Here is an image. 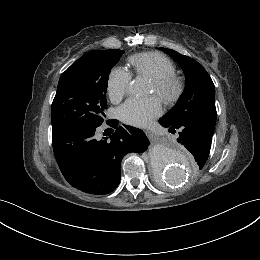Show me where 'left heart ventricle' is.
<instances>
[{
    "label": "left heart ventricle",
    "instance_id": "obj_1",
    "mask_svg": "<svg viewBox=\"0 0 260 260\" xmlns=\"http://www.w3.org/2000/svg\"><path fill=\"white\" fill-rule=\"evenodd\" d=\"M151 89L153 90L154 88H153V84L151 85Z\"/></svg>",
    "mask_w": 260,
    "mask_h": 260
}]
</instances>
